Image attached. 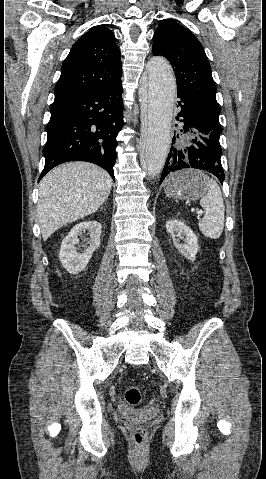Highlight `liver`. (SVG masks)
<instances>
[{
  "label": "liver",
  "mask_w": 266,
  "mask_h": 479,
  "mask_svg": "<svg viewBox=\"0 0 266 479\" xmlns=\"http://www.w3.org/2000/svg\"><path fill=\"white\" fill-rule=\"evenodd\" d=\"M110 175L88 162L62 164L40 182L37 216L43 240L56 230L95 213L108 199Z\"/></svg>",
  "instance_id": "1"
}]
</instances>
